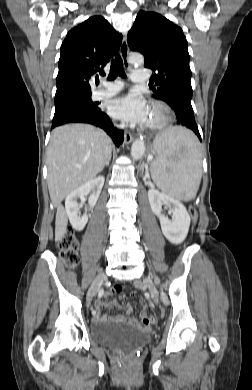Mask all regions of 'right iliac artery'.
I'll list each match as a JSON object with an SVG mask.
<instances>
[{
	"instance_id": "82829eb1",
	"label": "right iliac artery",
	"mask_w": 252,
	"mask_h": 390,
	"mask_svg": "<svg viewBox=\"0 0 252 390\" xmlns=\"http://www.w3.org/2000/svg\"><path fill=\"white\" fill-rule=\"evenodd\" d=\"M103 295H104V286H101V288L99 289L98 298H102ZM89 315H90V316H93V315H94V312H93V311H90V312H89Z\"/></svg>"
}]
</instances>
